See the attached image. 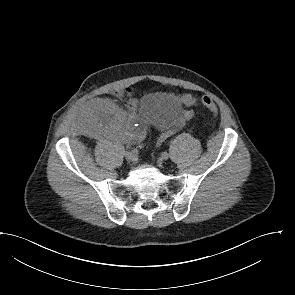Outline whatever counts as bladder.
Returning <instances> with one entry per match:
<instances>
[{
  "label": "bladder",
  "instance_id": "31cf9c89",
  "mask_svg": "<svg viewBox=\"0 0 295 295\" xmlns=\"http://www.w3.org/2000/svg\"><path fill=\"white\" fill-rule=\"evenodd\" d=\"M181 109L180 102L161 92L146 94L139 105L140 113L162 130L170 129L177 123Z\"/></svg>",
  "mask_w": 295,
  "mask_h": 295
}]
</instances>
